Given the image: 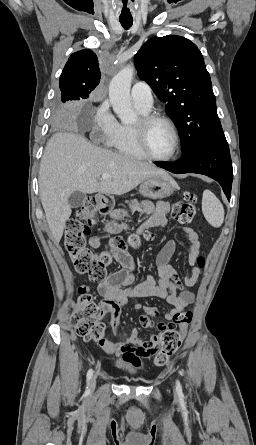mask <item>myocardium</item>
I'll return each instance as SVG.
<instances>
[{
  "mask_svg": "<svg viewBox=\"0 0 256 445\" xmlns=\"http://www.w3.org/2000/svg\"><path fill=\"white\" fill-rule=\"evenodd\" d=\"M155 122L166 123L174 135L173 151L166 157H158L154 155L147 143V130L149 126ZM132 130L137 146L146 158L156 162H168L178 155L181 146V138L177 126L170 118L159 114H144L139 118L138 122L132 126Z\"/></svg>",
  "mask_w": 256,
  "mask_h": 445,
  "instance_id": "obj_1",
  "label": "myocardium"
}]
</instances>
